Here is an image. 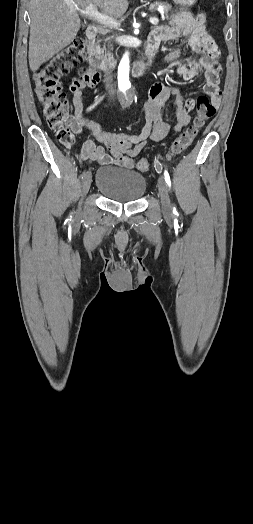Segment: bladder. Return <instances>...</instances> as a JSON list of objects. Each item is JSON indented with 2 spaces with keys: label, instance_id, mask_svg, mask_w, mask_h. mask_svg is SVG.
I'll use <instances>...</instances> for the list:
<instances>
[{
  "label": "bladder",
  "instance_id": "31cf9c89",
  "mask_svg": "<svg viewBox=\"0 0 253 524\" xmlns=\"http://www.w3.org/2000/svg\"><path fill=\"white\" fill-rule=\"evenodd\" d=\"M146 187L145 177L133 170L104 166L97 171L96 188L109 200L137 201L145 193Z\"/></svg>",
  "mask_w": 253,
  "mask_h": 524
}]
</instances>
